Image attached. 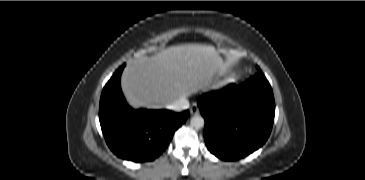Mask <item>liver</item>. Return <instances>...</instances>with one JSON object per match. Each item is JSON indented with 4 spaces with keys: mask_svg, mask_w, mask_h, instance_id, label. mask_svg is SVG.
Instances as JSON below:
<instances>
[{
    "mask_svg": "<svg viewBox=\"0 0 365 180\" xmlns=\"http://www.w3.org/2000/svg\"><path fill=\"white\" fill-rule=\"evenodd\" d=\"M225 71L214 46L182 44L134 62L123 72L121 86L132 107L161 108L196 93Z\"/></svg>",
    "mask_w": 365,
    "mask_h": 180,
    "instance_id": "6515ba94",
    "label": "liver"
}]
</instances>
